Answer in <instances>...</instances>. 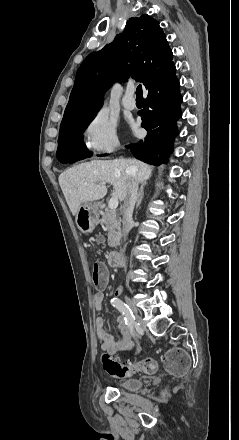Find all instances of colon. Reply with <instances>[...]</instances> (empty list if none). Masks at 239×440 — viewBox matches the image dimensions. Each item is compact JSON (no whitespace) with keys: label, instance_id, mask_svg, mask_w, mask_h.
I'll list each match as a JSON object with an SVG mask.
<instances>
[{"label":"colon","instance_id":"colon-1","mask_svg":"<svg viewBox=\"0 0 239 440\" xmlns=\"http://www.w3.org/2000/svg\"><path fill=\"white\" fill-rule=\"evenodd\" d=\"M92 280L96 287H104L107 282V271L100 262H95L92 268ZM103 368L114 377H128L134 374H152L157 369L153 359L146 358L135 363L121 362L112 358L108 353L102 355ZM165 369L173 375H184L189 367L186 353L180 349H174L167 353L164 359Z\"/></svg>","mask_w":239,"mask_h":440}]
</instances>
